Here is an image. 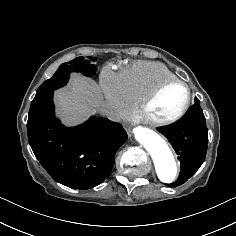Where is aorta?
<instances>
[{"label":"aorta","mask_w":236,"mask_h":236,"mask_svg":"<svg viewBox=\"0 0 236 236\" xmlns=\"http://www.w3.org/2000/svg\"><path fill=\"white\" fill-rule=\"evenodd\" d=\"M134 135L151 155L158 179L162 183L173 182L177 174V166L166 141L155 131L141 126L134 129Z\"/></svg>","instance_id":"obj_1"}]
</instances>
